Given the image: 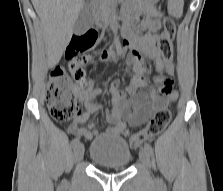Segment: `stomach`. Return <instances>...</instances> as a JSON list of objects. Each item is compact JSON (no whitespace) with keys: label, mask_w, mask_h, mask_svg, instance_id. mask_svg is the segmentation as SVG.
<instances>
[{"label":"stomach","mask_w":223,"mask_h":191,"mask_svg":"<svg viewBox=\"0 0 223 191\" xmlns=\"http://www.w3.org/2000/svg\"><path fill=\"white\" fill-rule=\"evenodd\" d=\"M154 2H157L158 0H153Z\"/></svg>","instance_id":"obj_1"}]
</instances>
